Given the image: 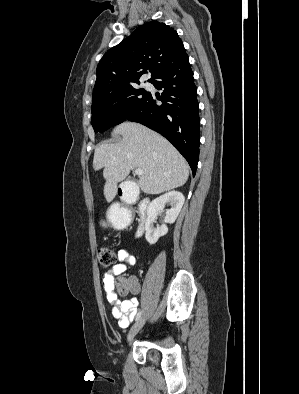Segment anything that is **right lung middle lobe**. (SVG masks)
Returning a JSON list of instances; mask_svg holds the SVG:
<instances>
[{"label": "right lung middle lobe", "instance_id": "right-lung-middle-lobe-1", "mask_svg": "<svg viewBox=\"0 0 299 394\" xmlns=\"http://www.w3.org/2000/svg\"><path fill=\"white\" fill-rule=\"evenodd\" d=\"M147 95L148 92L136 90L133 84L93 93L91 124L95 133L125 121L143 104Z\"/></svg>", "mask_w": 299, "mask_h": 394}]
</instances>
